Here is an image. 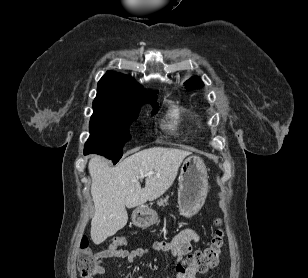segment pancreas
<instances>
[{"instance_id": "1", "label": "pancreas", "mask_w": 308, "mask_h": 278, "mask_svg": "<svg viewBox=\"0 0 308 278\" xmlns=\"http://www.w3.org/2000/svg\"><path fill=\"white\" fill-rule=\"evenodd\" d=\"M167 201H168V197L158 200L157 203H158L159 206H165V205H167Z\"/></svg>"}]
</instances>
